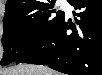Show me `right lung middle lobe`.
<instances>
[{
    "mask_svg": "<svg viewBox=\"0 0 102 75\" xmlns=\"http://www.w3.org/2000/svg\"><path fill=\"white\" fill-rule=\"evenodd\" d=\"M54 1L35 9L4 15L1 65L18 61L39 46L64 18L63 11L50 10ZM56 14V16L54 15Z\"/></svg>",
    "mask_w": 102,
    "mask_h": 75,
    "instance_id": "dd1d6c3e",
    "label": "right lung middle lobe"
}]
</instances>
